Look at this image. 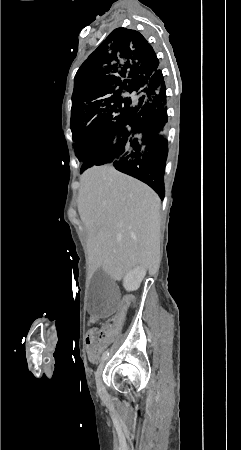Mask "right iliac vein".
I'll list each match as a JSON object with an SVG mask.
<instances>
[{"mask_svg": "<svg viewBox=\"0 0 241 450\" xmlns=\"http://www.w3.org/2000/svg\"><path fill=\"white\" fill-rule=\"evenodd\" d=\"M104 364H101L100 367L98 368L97 372H96V386H97V390L101 395H105V386L103 384L102 381V367Z\"/></svg>", "mask_w": 241, "mask_h": 450, "instance_id": "1", "label": "right iliac vein"}]
</instances>
